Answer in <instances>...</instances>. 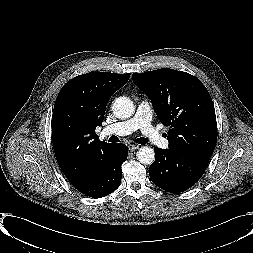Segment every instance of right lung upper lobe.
<instances>
[{
	"instance_id": "right-lung-upper-lobe-1",
	"label": "right lung upper lobe",
	"mask_w": 253,
	"mask_h": 253,
	"mask_svg": "<svg viewBox=\"0 0 253 253\" xmlns=\"http://www.w3.org/2000/svg\"><path fill=\"white\" fill-rule=\"evenodd\" d=\"M130 74L89 72L69 80L59 92L53 110L52 142L57 162L69 182L84 183L112 145L100 142L95 129L106 105Z\"/></svg>"
}]
</instances>
